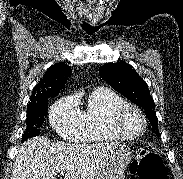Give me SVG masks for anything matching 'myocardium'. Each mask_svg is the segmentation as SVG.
I'll use <instances>...</instances> for the list:
<instances>
[{
    "label": "myocardium",
    "instance_id": "1",
    "mask_svg": "<svg viewBox=\"0 0 183 179\" xmlns=\"http://www.w3.org/2000/svg\"><path fill=\"white\" fill-rule=\"evenodd\" d=\"M127 110L135 111L142 120V128L136 133H128L121 126V118ZM109 125H110L111 129L120 137L135 138V137L140 136L146 130L147 119H146V116L143 113V111L138 106H136L135 104H132V103L124 102V103L116 106L112 110V112L109 116Z\"/></svg>",
    "mask_w": 183,
    "mask_h": 179
}]
</instances>
